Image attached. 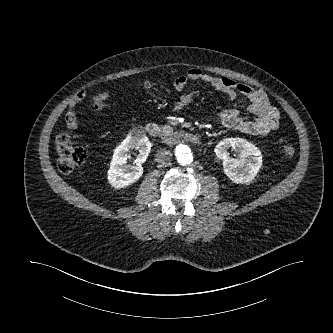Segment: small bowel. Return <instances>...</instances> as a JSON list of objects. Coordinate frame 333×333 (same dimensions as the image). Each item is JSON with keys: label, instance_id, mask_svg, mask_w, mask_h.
<instances>
[{"label": "small bowel", "instance_id": "small-bowel-1", "mask_svg": "<svg viewBox=\"0 0 333 333\" xmlns=\"http://www.w3.org/2000/svg\"><path fill=\"white\" fill-rule=\"evenodd\" d=\"M194 82L208 84L214 89L227 94L232 100L238 94L248 98V109L255 118H244L236 107H228L218 114V120L224 126L252 136H265L278 128L279 112L269 103L263 90L245 83L236 82L231 78L211 76L198 68H191L185 76L173 78V87L175 91L181 92ZM196 96L197 92H189L179 96L174 101L173 108L181 109L189 105ZM108 97V92H101L91 95V100L96 106L101 107ZM86 98L87 94L81 91L76 93L70 100L65 115V122L69 129L76 130L78 128V120L74 109L78 103Z\"/></svg>", "mask_w": 333, "mask_h": 333}]
</instances>
